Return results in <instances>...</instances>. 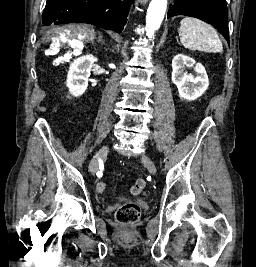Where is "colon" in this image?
Returning <instances> with one entry per match:
<instances>
[{
	"label": "colon",
	"instance_id": "1",
	"mask_svg": "<svg viewBox=\"0 0 256 267\" xmlns=\"http://www.w3.org/2000/svg\"><path fill=\"white\" fill-rule=\"evenodd\" d=\"M146 187V182L143 178H139L131 187V193L133 195L140 194ZM97 191L99 193H105L107 191V184L104 182L98 183ZM141 209L139 205L135 203H126L117 210L116 212V223L119 224L120 228H131L132 224L138 223Z\"/></svg>",
	"mask_w": 256,
	"mask_h": 267
}]
</instances>
